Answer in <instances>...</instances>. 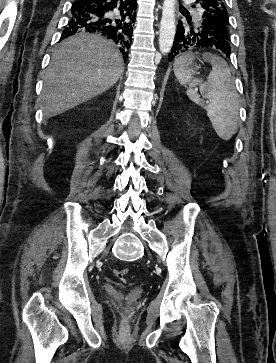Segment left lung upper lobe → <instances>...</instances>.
Masks as SVG:
<instances>
[{
    "label": "left lung upper lobe",
    "instance_id": "1",
    "mask_svg": "<svg viewBox=\"0 0 276 363\" xmlns=\"http://www.w3.org/2000/svg\"><path fill=\"white\" fill-rule=\"evenodd\" d=\"M204 9L203 16L197 22L206 20L214 28V32L219 38L230 45L229 39V16L224 4V0H198Z\"/></svg>",
    "mask_w": 276,
    "mask_h": 363
}]
</instances>
